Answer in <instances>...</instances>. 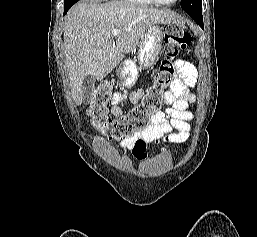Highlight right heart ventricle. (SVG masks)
I'll return each instance as SVG.
<instances>
[{
	"mask_svg": "<svg viewBox=\"0 0 257 237\" xmlns=\"http://www.w3.org/2000/svg\"><path fill=\"white\" fill-rule=\"evenodd\" d=\"M126 2H130V3H135V4H141V5H151L153 4L152 0H123Z\"/></svg>",
	"mask_w": 257,
	"mask_h": 237,
	"instance_id": "1",
	"label": "right heart ventricle"
}]
</instances>
